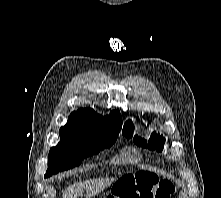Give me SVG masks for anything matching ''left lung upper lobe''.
Returning <instances> with one entry per match:
<instances>
[{
	"mask_svg": "<svg viewBox=\"0 0 221 198\" xmlns=\"http://www.w3.org/2000/svg\"><path fill=\"white\" fill-rule=\"evenodd\" d=\"M133 123L131 120H128L123 127L122 134L127 138H131L133 136ZM134 143L138 146L148 147L151 150L162 151L165 143V139H163L160 135H157L155 132L151 134V137L147 143L146 140L138 137L137 135L134 136L133 139Z\"/></svg>",
	"mask_w": 221,
	"mask_h": 198,
	"instance_id": "1",
	"label": "left lung upper lobe"
}]
</instances>
